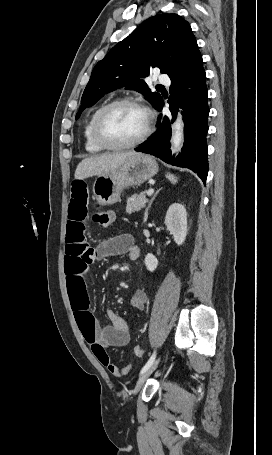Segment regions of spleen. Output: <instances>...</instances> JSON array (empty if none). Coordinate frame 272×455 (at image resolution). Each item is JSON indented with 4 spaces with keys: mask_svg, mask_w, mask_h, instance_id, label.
I'll use <instances>...</instances> for the list:
<instances>
[{
    "mask_svg": "<svg viewBox=\"0 0 272 455\" xmlns=\"http://www.w3.org/2000/svg\"><path fill=\"white\" fill-rule=\"evenodd\" d=\"M166 176L173 184H175L178 181L177 177H175L173 174L168 173Z\"/></svg>",
    "mask_w": 272,
    "mask_h": 455,
    "instance_id": "1",
    "label": "spleen"
}]
</instances>
